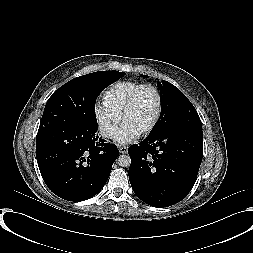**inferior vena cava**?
Instances as JSON below:
<instances>
[{
  "mask_svg": "<svg viewBox=\"0 0 253 253\" xmlns=\"http://www.w3.org/2000/svg\"><path fill=\"white\" fill-rule=\"evenodd\" d=\"M113 134L112 130H109V129H104V130H101V135L105 138H109L111 137Z\"/></svg>",
  "mask_w": 253,
  "mask_h": 253,
  "instance_id": "obj_1",
  "label": "inferior vena cava"
}]
</instances>
